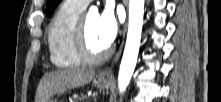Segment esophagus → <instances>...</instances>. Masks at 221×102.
Listing matches in <instances>:
<instances>
[{"mask_svg": "<svg viewBox=\"0 0 221 102\" xmlns=\"http://www.w3.org/2000/svg\"><path fill=\"white\" fill-rule=\"evenodd\" d=\"M125 31H126V27H125ZM121 50H122V48H120V50H119L118 53L116 54L113 63H115V62L118 61V59H119V57H120V54H121ZM100 76H101L102 78H111V77H112V68L104 69V70L101 72Z\"/></svg>", "mask_w": 221, "mask_h": 102, "instance_id": "obj_1", "label": "esophagus"}]
</instances>
